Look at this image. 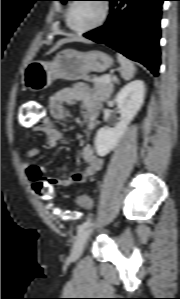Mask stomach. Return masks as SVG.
Returning a JSON list of instances; mask_svg holds the SVG:
<instances>
[{
    "instance_id": "obj_1",
    "label": "stomach",
    "mask_w": 180,
    "mask_h": 299,
    "mask_svg": "<svg viewBox=\"0 0 180 299\" xmlns=\"http://www.w3.org/2000/svg\"><path fill=\"white\" fill-rule=\"evenodd\" d=\"M113 63L112 58L101 51L80 52L65 49L51 62L32 61L22 72L24 90L37 92L46 89L56 79L79 80L90 72H104Z\"/></svg>"
}]
</instances>
